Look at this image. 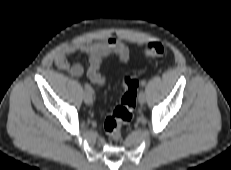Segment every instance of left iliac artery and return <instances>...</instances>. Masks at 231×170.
<instances>
[{"label": "left iliac artery", "instance_id": "obj_1", "mask_svg": "<svg viewBox=\"0 0 231 170\" xmlns=\"http://www.w3.org/2000/svg\"><path fill=\"white\" fill-rule=\"evenodd\" d=\"M141 84H142V86H145V85H146V82H145V81H143Z\"/></svg>", "mask_w": 231, "mask_h": 170}]
</instances>
